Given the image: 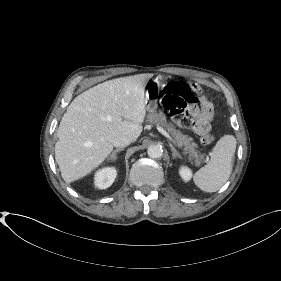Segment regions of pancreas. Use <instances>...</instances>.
Returning <instances> with one entry per match:
<instances>
[{"instance_id":"1","label":"pancreas","mask_w":281,"mask_h":281,"mask_svg":"<svg viewBox=\"0 0 281 281\" xmlns=\"http://www.w3.org/2000/svg\"><path fill=\"white\" fill-rule=\"evenodd\" d=\"M147 122L152 125L164 127L171 135L172 139L179 147H184L185 153L189 154L190 160H194L196 164H200L203 156L198 153L196 148L198 145L193 142V139L187 135H183L180 130H177L172 123H168L166 116L162 111L152 112L147 116Z\"/></svg>"}]
</instances>
